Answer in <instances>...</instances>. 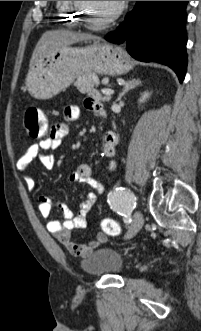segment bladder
Instances as JSON below:
<instances>
[{
  "label": "bladder",
  "mask_w": 201,
  "mask_h": 331,
  "mask_svg": "<svg viewBox=\"0 0 201 331\" xmlns=\"http://www.w3.org/2000/svg\"><path fill=\"white\" fill-rule=\"evenodd\" d=\"M82 269L89 275H115L120 274L124 267V258L110 247L94 249L81 262Z\"/></svg>",
  "instance_id": "obj_1"
}]
</instances>
